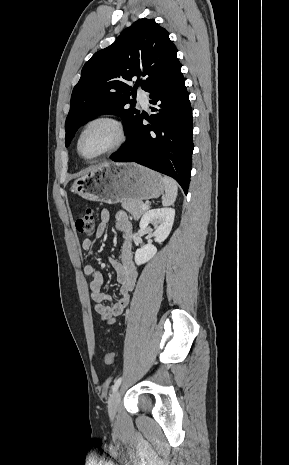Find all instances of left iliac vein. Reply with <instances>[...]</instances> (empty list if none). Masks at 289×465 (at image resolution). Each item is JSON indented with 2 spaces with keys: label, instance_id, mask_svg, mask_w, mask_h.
<instances>
[{
  "label": "left iliac vein",
  "instance_id": "obj_1",
  "mask_svg": "<svg viewBox=\"0 0 289 465\" xmlns=\"http://www.w3.org/2000/svg\"><path fill=\"white\" fill-rule=\"evenodd\" d=\"M121 399V390L116 391L109 400L108 412L111 419L116 416L118 406Z\"/></svg>",
  "mask_w": 289,
  "mask_h": 465
}]
</instances>
